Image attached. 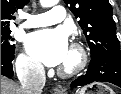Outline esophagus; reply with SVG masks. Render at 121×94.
Segmentation results:
<instances>
[{
  "label": "esophagus",
  "instance_id": "34e87169",
  "mask_svg": "<svg viewBox=\"0 0 121 94\" xmlns=\"http://www.w3.org/2000/svg\"><path fill=\"white\" fill-rule=\"evenodd\" d=\"M53 93L54 94H64V91L62 89H59V88H54Z\"/></svg>",
  "mask_w": 121,
  "mask_h": 94
}]
</instances>
